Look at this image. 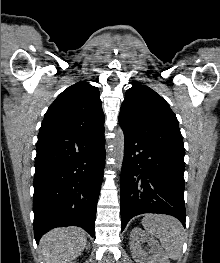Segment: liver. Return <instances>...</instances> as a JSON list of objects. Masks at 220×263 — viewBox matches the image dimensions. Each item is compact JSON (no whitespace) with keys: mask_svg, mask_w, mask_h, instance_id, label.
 Here are the masks:
<instances>
[{"mask_svg":"<svg viewBox=\"0 0 220 263\" xmlns=\"http://www.w3.org/2000/svg\"><path fill=\"white\" fill-rule=\"evenodd\" d=\"M86 243V234L78 227L53 229L43 235L40 240L46 263L70 262L81 255Z\"/></svg>","mask_w":220,"mask_h":263,"instance_id":"obj_1","label":"liver"}]
</instances>
